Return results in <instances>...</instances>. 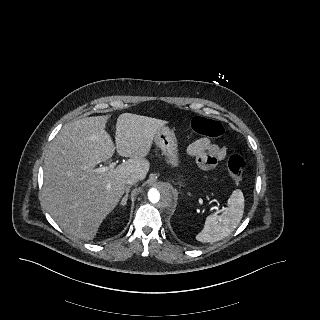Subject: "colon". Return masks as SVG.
<instances>
[{
  "label": "colon",
  "instance_id": "1",
  "mask_svg": "<svg viewBox=\"0 0 320 320\" xmlns=\"http://www.w3.org/2000/svg\"><path fill=\"white\" fill-rule=\"evenodd\" d=\"M192 129L202 135L219 137L224 128L220 121L208 117H196L191 122ZM228 171L232 180L239 184L246 169V159L240 154H233L227 162Z\"/></svg>",
  "mask_w": 320,
  "mask_h": 320
}]
</instances>
